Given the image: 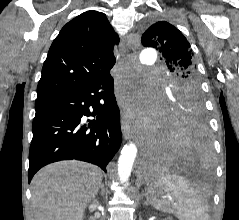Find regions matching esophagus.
<instances>
[{
  "instance_id": "obj_1",
  "label": "esophagus",
  "mask_w": 239,
  "mask_h": 220,
  "mask_svg": "<svg viewBox=\"0 0 239 220\" xmlns=\"http://www.w3.org/2000/svg\"><path fill=\"white\" fill-rule=\"evenodd\" d=\"M120 53H121L122 56H124L125 53H126V50H125V48L122 44L120 45ZM117 101H118V107H125V99H122V94L121 93L117 94ZM126 112H127L126 109H123V108L119 110V113H120L119 114V117H120L119 122L123 123V126H122L123 135L127 139V138H129V134L126 130V122L123 119V118H126V116H127Z\"/></svg>"
}]
</instances>
